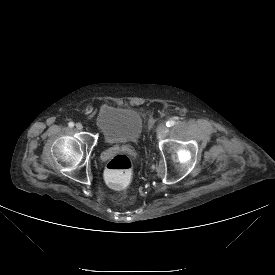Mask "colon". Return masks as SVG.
Listing matches in <instances>:
<instances>
[{
    "instance_id": "colon-1",
    "label": "colon",
    "mask_w": 275,
    "mask_h": 275,
    "mask_svg": "<svg viewBox=\"0 0 275 275\" xmlns=\"http://www.w3.org/2000/svg\"><path fill=\"white\" fill-rule=\"evenodd\" d=\"M133 163L129 156L118 153L113 155L105 167V178L113 186L125 187L132 175Z\"/></svg>"
}]
</instances>
